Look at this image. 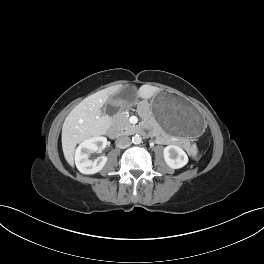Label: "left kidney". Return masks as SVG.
<instances>
[{"label":"left kidney","instance_id":"5707ae66","mask_svg":"<svg viewBox=\"0 0 264 264\" xmlns=\"http://www.w3.org/2000/svg\"><path fill=\"white\" fill-rule=\"evenodd\" d=\"M166 164L172 169H179L188 163L185 151L176 145L166 146L163 150Z\"/></svg>","mask_w":264,"mask_h":264}]
</instances>
